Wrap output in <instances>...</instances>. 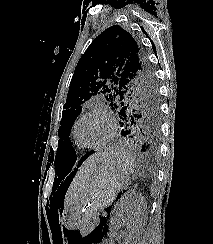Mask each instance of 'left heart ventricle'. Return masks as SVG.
I'll return each instance as SVG.
<instances>
[{"mask_svg": "<svg viewBox=\"0 0 213 244\" xmlns=\"http://www.w3.org/2000/svg\"><path fill=\"white\" fill-rule=\"evenodd\" d=\"M109 132L106 119L98 114L90 115L83 119L78 126L77 135L86 145H96L102 142Z\"/></svg>", "mask_w": 213, "mask_h": 244, "instance_id": "1", "label": "left heart ventricle"}]
</instances>
